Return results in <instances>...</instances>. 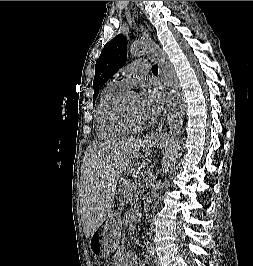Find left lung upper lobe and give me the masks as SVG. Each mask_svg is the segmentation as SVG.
<instances>
[{
  "label": "left lung upper lobe",
  "instance_id": "1",
  "mask_svg": "<svg viewBox=\"0 0 253 266\" xmlns=\"http://www.w3.org/2000/svg\"><path fill=\"white\" fill-rule=\"evenodd\" d=\"M126 59L127 38L120 34L105 45L96 62L93 98L98 96L100 87L125 64Z\"/></svg>",
  "mask_w": 253,
  "mask_h": 266
}]
</instances>
